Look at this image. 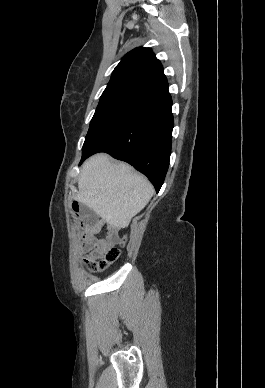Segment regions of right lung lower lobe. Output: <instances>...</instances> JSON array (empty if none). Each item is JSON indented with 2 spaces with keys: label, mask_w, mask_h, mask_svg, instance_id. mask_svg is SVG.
Instances as JSON below:
<instances>
[{
  "label": "right lung lower lobe",
  "mask_w": 265,
  "mask_h": 388,
  "mask_svg": "<svg viewBox=\"0 0 265 388\" xmlns=\"http://www.w3.org/2000/svg\"><path fill=\"white\" fill-rule=\"evenodd\" d=\"M171 108L172 99L168 91L147 101L82 156L79 164L94 153H109L145 174L158 192L165 179L171 154L174 126Z\"/></svg>",
  "instance_id": "obj_1"
}]
</instances>
